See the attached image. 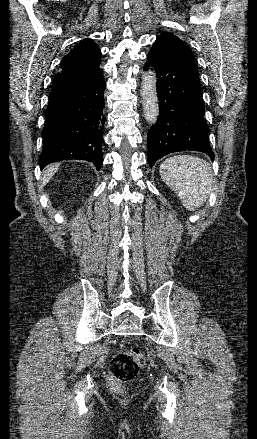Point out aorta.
Masks as SVG:
<instances>
[{
  "instance_id": "1",
  "label": "aorta",
  "mask_w": 257,
  "mask_h": 439,
  "mask_svg": "<svg viewBox=\"0 0 257 439\" xmlns=\"http://www.w3.org/2000/svg\"><path fill=\"white\" fill-rule=\"evenodd\" d=\"M141 98L144 117L150 124L156 123L159 115V106L156 94V74L149 70L142 79Z\"/></svg>"
}]
</instances>
